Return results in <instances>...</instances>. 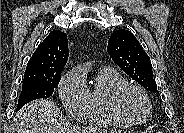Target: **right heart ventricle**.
Returning <instances> with one entry per match:
<instances>
[{
	"instance_id": "1",
	"label": "right heart ventricle",
	"mask_w": 184,
	"mask_h": 133,
	"mask_svg": "<svg viewBox=\"0 0 184 133\" xmlns=\"http://www.w3.org/2000/svg\"><path fill=\"white\" fill-rule=\"evenodd\" d=\"M128 81L110 67L100 69L95 84L90 91V103L87 118L90 122L103 126L127 125L114 113L111 98L114 91Z\"/></svg>"
}]
</instances>
